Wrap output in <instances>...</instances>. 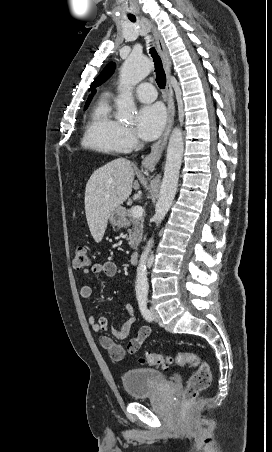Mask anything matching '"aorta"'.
<instances>
[{"mask_svg":"<svg viewBox=\"0 0 272 452\" xmlns=\"http://www.w3.org/2000/svg\"><path fill=\"white\" fill-rule=\"evenodd\" d=\"M151 70V62L141 55L131 54L123 63L120 73L122 92L117 99L116 117L119 120L129 121L136 111L131 88L144 79ZM184 152L183 135L180 128L172 131L168 147L163 181L160 187L159 198L155 207L154 222L158 227L168 213L178 187L179 172ZM154 240L151 238L141 254L136 271V295L148 293L147 261Z\"/></svg>","mask_w":272,"mask_h":452,"instance_id":"aorta-1","label":"aorta"}]
</instances>
